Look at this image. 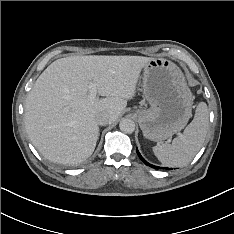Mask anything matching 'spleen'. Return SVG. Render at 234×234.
Wrapping results in <instances>:
<instances>
[{"mask_svg": "<svg viewBox=\"0 0 234 234\" xmlns=\"http://www.w3.org/2000/svg\"><path fill=\"white\" fill-rule=\"evenodd\" d=\"M209 129V112L206 103L198 104L194 119L172 144L162 143L153 147L158 160L167 167L187 165L201 149Z\"/></svg>", "mask_w": 234, "mask_h": 234, "instance_id": "1", "label": "spleen"}]
</instances>
